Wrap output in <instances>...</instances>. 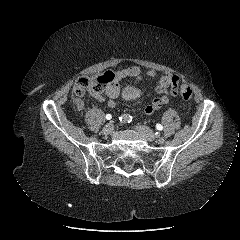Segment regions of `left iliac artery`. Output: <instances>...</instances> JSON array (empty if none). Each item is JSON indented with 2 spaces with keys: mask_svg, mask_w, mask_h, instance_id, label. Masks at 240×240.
Listing matches in <instances>:
<instances>
[{
  "mask_svg": "<svg viewBox=\"0 0 240 240\" xmlns=\"http://www.w3.org/2000/svg\"><path fill=\"white\" fill-rule=\"evenodd\" d=\"M167 136V133L165 131H162L161 133L158 134L159 138H165Z\"/></svg>",
  "mask_w": 240,
  "mask_h": 240,
  "instance_id": "left-iliac-artery-1",
  "label": "left iliac artery"
}]
</instances>
